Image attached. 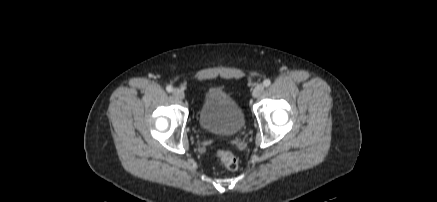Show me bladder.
Here are the masks:
<instances>
[{
  "label": "bladder",
  "mask_w": 437,
  "mask_h": 202,
  "mask_svg": "<svg viewBox=\"0 0 437 202\" xmlns=\"http://www.w3.org/2000/svg\"><path fill=\"white\" fill-rule=\"evenodd\" d=\"M199 127L218 136H234L245 125V115L240 105L225 90L209 89L197 112Z\"/></svg>",
  "instance_id": "31cf9c89"
}]
</instances>
